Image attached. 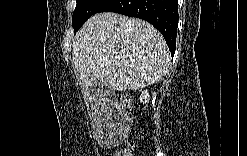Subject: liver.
I'll list each match as a JSON object with an SVG mask.
<instances>
[{"label": "liver", "mask_w": 247, "mask_h": 156, "mask_svg": "<svg viewBox=\"0 0 247 156\" xmlns=\"http://www.w3.org/2000/svg\"><path fill=\"white\" fill-rule=\"evenodd\" d=\"M73 62L81 87L97 79L113 90H138L163 77L170 65L167 44L150 23L113 12L92 16L73 43Z\"/></svg>", "instance_id": "liver-1"}]
</instances>
